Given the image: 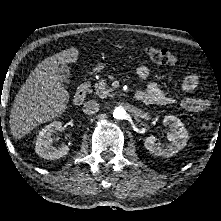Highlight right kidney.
<instances>
[{
    "mask_svg": "<svg viewBox=\"0 0 221 221\" xmlns=\"http://www.w3.org/2000/svg\"><path fill=\"white\" fill-rule=\"evenodd\" d=\"M61 130L62 123L60 121H54L39 132L35 151L40 157L47 160H55L68 154L69 147L67 145H62L57 148L52 145V135Z\"/></svg>",
    "mask_w": 221,
    "mask_h": 221,
    "instance_id": "1",
    "label": "right kidney"
}]
</instances>
